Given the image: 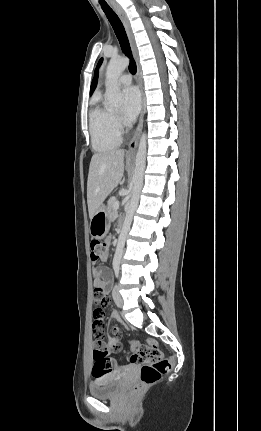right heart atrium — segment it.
Returning a JSON list of instances; mask_svg holds the SVG:
<instances>
[{
    "mask_svg": "<svg viewBox=\"0 0 261 431\" xmlns=\"http://www.w3.org/2000/svg\"><path fill=\"white\" fill-rule=\"evenodd\" d=\"M113 123L118 130L123 127V123L117 115H113Z\"/></svg>",
    "mask_w": 261,
    "mask_h": 431,
    "instance_id": "obj_1",
    "label": "right heart atrium"
}]
</instances>
